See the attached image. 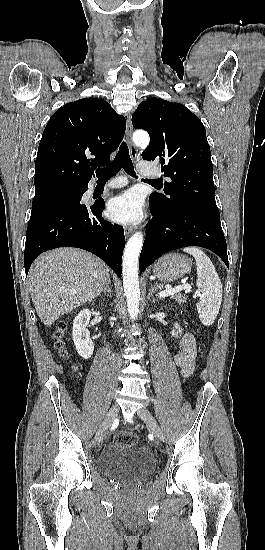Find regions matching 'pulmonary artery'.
Masks as SVG:
<instances>
[{
    "label": "pulmonary artery",
    "instance_id": "pulmonary-artery-1",
    "mask_svg": "<svg viewBox=\"0 0 265 550\" xmlns=\"http://www.w3.org/2000/svg\"><path fill=\"white\" fill-rule=\"evenodd\" d=\"M145 162H139V171L143 174V175H146V176H151V177H158L160 175V172L156 171V170H151V169H146L145 167ZM127 184V180L125 178H117V179H114L110 182H108L106 184V188H119V187H123ZM94 190V187L90 188L89 189V192H92Z\"/></svg>",
    "mask_w": 265,
    "mask_h": 550
}]
</instances>
